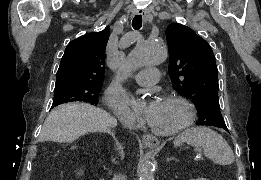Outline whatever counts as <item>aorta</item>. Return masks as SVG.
<instances>
[{"label": "aorta", "instance_id": "obj_1", "mask_svg": "<svg viewBox=\"0 0 261 180\" xmlns=\"http://www.w3.org/2000/svg\"><path fill=\"white\" fill-rule=\"evenodd\" d=\"M167 58V50L161 45L146 41L138 42L130 52L127 59L121 65V70L126 75H130L134 70L143 66H153L164 62ZM133 107L140 104L132 101ZM139 180H154V167L151 162L140 164L138 170Z\"/></svg>", "mask_w": 261, "mask_h": 180}]
</instances>
